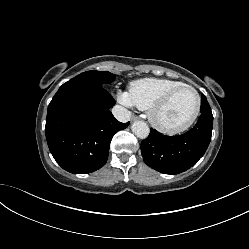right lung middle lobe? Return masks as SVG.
Instances as JSON below:
<instances>
[{"mask_svg":"<svg viewBox=\"0 0 249 249\" xmlns=\"http://www.w3.org/2000/svg\"><path fill=\"white\" fill-rule=\"evenodd\" d=\"M73 79H83L90 81L98 86H103L104 84L111 83L115 80V76L110 72L102 71H87L81 73Z\"/></svg>","mask_w":249,"mask_h":249,"instance_id":"1","label":"right lung middle lobe"}]
</instances>
